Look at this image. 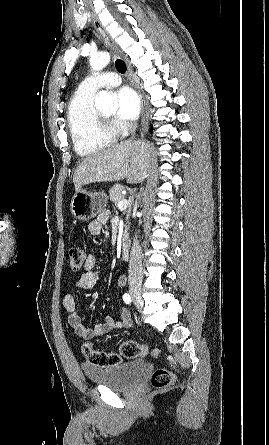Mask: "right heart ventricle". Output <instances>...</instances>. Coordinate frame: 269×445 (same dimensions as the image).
Here are the masks:
<instances>
[{
    "instance_id": "e07e8e85",
    "label": "right heart ventricle",
    "mask_w": 269,
    "mask_h": 445,
    "mask_svg": "<svg viewBox=\"0 0 269 445\" xmlns=\"http://www.w3.org/2000/svg\"><path fill=\"white\" fill-rule=\"evenodd\" d=\"M95 91L81 86L74 92L67 109V123L73 148L80 157H89L115 142L112 127H105L94 108Z\"/></svg>"
}]
</instances>
